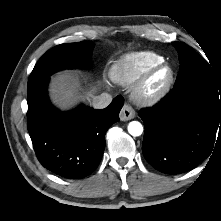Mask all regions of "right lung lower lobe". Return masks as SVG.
<instances>
[{"mask_svg":"<svg viewBox=\"0 0 221 221\" xmlns=\"http://www.w3.org/2000/svg\"><path fill=\"white\" fill-rule=\"evenodd\" d=\"M48 79L28 90L27 128L40 163L62 178L81 179L99 165L108 128L119 121L123 98L105 109L60 112L47 96Z\"/></svg>","mask_w":221,"mask_h":221,"instance_id":"obj_1","label":"right lung lower lobe"}]
</instances>
